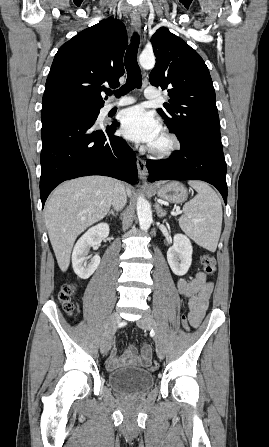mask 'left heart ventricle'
Listing matches in <instances>:
<instances>
[{"label": "left heart ventricle", "instance_id": "left-heart-ventricle-1", "mask_svg": "<svg viewBox=\"0 0 269 447\" xmlns=\"http://www.w3.org/2000/svg\"><path fill=\"white\" fill-rule=\"evenodd\" d=\"M169 145V139L162 131L159 136L149 145V147L155 151H161L167 148Z\"/></svg>", "mask_w": 269, "mask_h": 447}]
</instances>
